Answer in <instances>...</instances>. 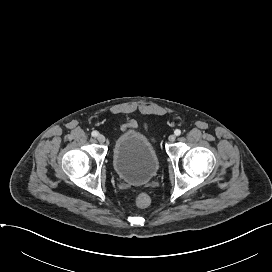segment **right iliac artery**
I'll list each match as a JSON object with an SVG mask.
<instances>
[{"label":"right iliac artery","instance_id":"82829eb1","mask_svg":"<svg viewBox=\"0 0 272 272\" xmlns=\"http://www.w3.org/2000/svg\"><path fill=\"white\" fill-rule=\"evenodd\" d=\"M91 134H92L93 137H97L98 136V132L97 131H93Z\"/></svg>","mask_w":272,"mask_h":272}]
</instances>
